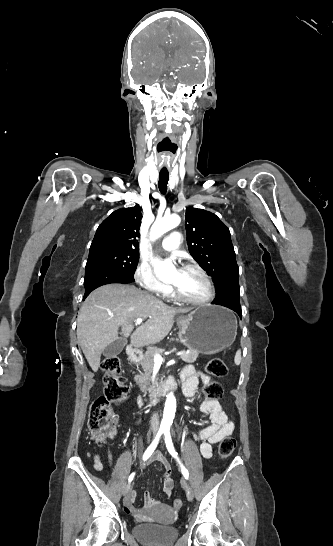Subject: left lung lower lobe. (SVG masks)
Masks as SVG:
<instances>
[{"label":"left lung lower lobe","mask_w":333,"mask_h":546,"mask_svg":"<svg viewBox=\"0 0 333 546\" xmlns=\"http://www.w3.org/2000/svg\"><path fill=\"white\" fill-rule=\"evenodd\" d=\"M212 304H217L225 306L233 311H235L239 317L242 316L241 306H240V289L239 284L231 285L225 288L224 292L221 295L216 296L212 301Z\"/></svg>","instance_id":"1"}]
</instances>
